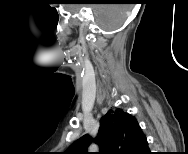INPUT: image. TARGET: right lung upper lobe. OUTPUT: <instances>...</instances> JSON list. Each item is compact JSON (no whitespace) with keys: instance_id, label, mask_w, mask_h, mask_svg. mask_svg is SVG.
Returning a JSON list of instances; mask_svg holds the SVG:
<instances>
[{"instance_id":"1","label":"right lung upper lobe","mask_w":188,"mask_h":154,"mask_svg":"<svg viewBox=\"0 0 188 154\" xmlns=\"http://www.w3.org/2000/svg\"><path fill=\"white\" fill-rule=\"evenodd\" d=\"M95 141L100 154H145L148 142L137 120L122 109L109 110L100 120L98 135L88 134L75 141L66 154H90L87 148Z\"/></svg>"}]
</instances>
